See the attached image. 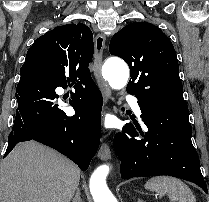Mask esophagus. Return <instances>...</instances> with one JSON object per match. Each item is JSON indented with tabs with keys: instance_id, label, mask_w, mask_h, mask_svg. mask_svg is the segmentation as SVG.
Returning <instances> with one entry per match:
<instances>
[{
	"instance_id": "obj_1",
	"label": "esophagus",
	"mask_w": 209,
	"mask_h": 202,
	"mask_svg": "<svg viewBox=\"0 0 209 202\" xmlns=\"http://www.w3.org/2000/svg\"><path fill=\"white\" fill-rule=\"evenodd\" d=\"M95 53H94V68H95V76L98 81L99 86L103 89L106 99L110 97L111 90L108 87V84L103 80L101 75V67H102V58L103 52L105 50V36L103 34H98L95 37ZM98 157L107 161L111 157V151L107 143H103L98 151Z\"/></svg>"
}]
</instances>
